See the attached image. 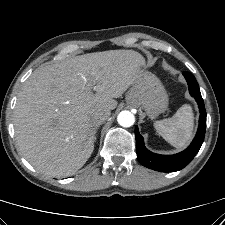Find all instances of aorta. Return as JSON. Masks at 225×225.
I'll return each instance as SVG.
<instances>
[{
	"instance_id": "obj_1",
	"label": "aorta",
	"mask_w": 225,
	"mask_h": 225,
	"mask_svg": "<svg viewBox=\"0 0 225 225\" xmlns=\"http://www.w3.org/2000/svg\"><path fill=\"white\" fill-rule=\"evenodd\" d=\"M118 124L122 127H130L135 122V117L132 112L124 110L117 116Z\"/></svg>"
}]
</instances>
